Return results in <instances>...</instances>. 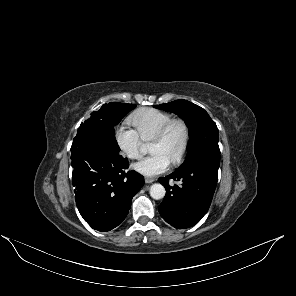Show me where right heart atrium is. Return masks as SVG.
I'll use <instances>...</instances> for the list:
<instances>
[{
    "label": "right heart atrium",
    "instance_id": "d8ad5b80",
    "mask_svg": "<svg viewBox=\"0 0 296 296\" xmlns=\"http://www.w3.org/2000/svg\"><path fill=\"white\" fill-rule=\"evenodd\" d=\"M115 140L120 151L130 159L142 157V139L136 130L121 125L115 132Z\"/></svg>",
    "mask_w": 296,
    "mask_h": 296
}]
</instances>
